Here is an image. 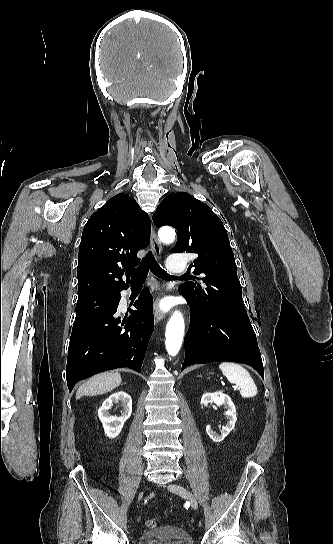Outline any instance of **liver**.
Returning <instances> with one entry per match:
<instances>
[{
	"instance_id": "1",
	"label": "liver",
	"mask_w": 333,
	"mask_h": 544,
	"mask_svg": "<svg viewBox=\"0 0 333 544\" xmlns=\"http://www.w3.org/2000/svg\"><path fill=\"white\" fill-rule=\"evenodd\" d=\"M122 382L121 375L117 372H105L97 374L87 380L76 393V398L82 396L99 395L113 390Z\"/></svg>"
}]
</instances>
